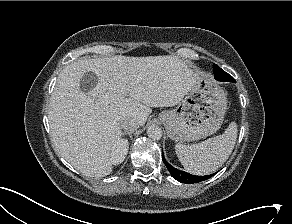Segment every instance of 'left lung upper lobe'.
<instances>
[{"label": "left lung upper lobe", "mask_w": 292, "mask_h": 224, "mask_svg": "<svg viewBox=\"0 0 292 224\" xmlns=\"http://www.w3.org/2000/svg\"><path fill=\"white\" fill-rule=\"evenodd\" d=\"M221 68L220 67H218L217 65H213V72H214V74H221V73H218V72H221ZM231 76V75H230ZM230 82H233L232 80H230Z\"/></svg>", "instance_id": "5c2ea615"}]
</instances>
